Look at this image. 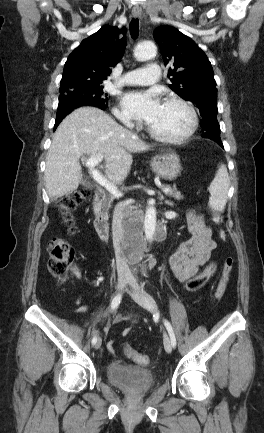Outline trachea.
I'll return each instance as SVG.
<instances>
[{
  "instance_id": "3493384b",
  "label": "trachea",
  "mask_w": 264,
  "mask_h": 433,
  "mask_svg": "<svg viewBox=\"0 0 264 433\" xmlns=\"http://www.w3.org/2000/svg\"><path fill=\"white\" fill-rule=\"evenodd\" d=\"M139 31V20L133 18L130 22V34L132 38H136Z\"/></svg>"
}]
</instances>
